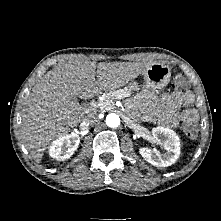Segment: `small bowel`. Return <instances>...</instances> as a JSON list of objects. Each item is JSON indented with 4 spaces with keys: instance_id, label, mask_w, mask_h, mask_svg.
Instances as JSON below:
<instances>
[{
    "instance_id": "obj_1",
    "label": "small bowel",
    "mask_w": 221,
    "mask_h": 221,
    "mask_svg": "<svg viewBox=\"0 0 221 221\" xmlns=\"http://www.w3.org/2000/svg\"><path fill=\"white\" fill-rule=\"evenodd\" d=\"M193 101L194 96L190 91L184 93L176 91L170 95H165L163 97V109L159 116V123L161 125L175 127L179 121L190 118L196 120L197 112L191 108ZM181 106H186L187 108L179 111Z\"/></svg>"
}]
</instances>
